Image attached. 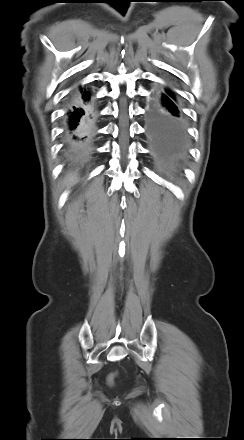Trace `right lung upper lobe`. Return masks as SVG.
Wrapping results in <instances>:
<instances>
[{"mask_svg":"<svg viewBox=\"0 0 244 440\" xmlns=\"http://www.w3.org/2000/svg\"><path fill=\"white\" fill-rule=\"evenodd\" d=\"M77 95L81 96L82 98H86L90 96L89 92L85 89H80V91L77 93Z\"/></svg>","mask_w":244,"mask_h":440,"instance_id":"obj_1","label":"right lung upper lobe"}]
</instances>
